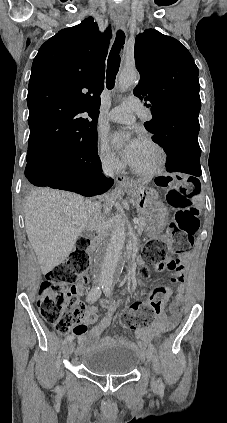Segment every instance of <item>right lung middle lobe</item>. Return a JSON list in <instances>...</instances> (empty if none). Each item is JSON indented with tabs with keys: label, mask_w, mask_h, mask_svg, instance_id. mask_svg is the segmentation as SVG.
I'll list each match as a JSON object with an SVG mask.
<instances>
[{
	"label": "right lung middle lobe",
	"mask_w": 227,
	"mask_h": 423,
	"mask_svg": "<svg viewBox=\"0 0 227 423\" xmlns=\"http://www.w3.org/2000/svg\"><path fill=\"white\" fill-rule=\"evenodd\" d=\"M97 150V133H93L83 138L82 140L73 143L69 146H66L61 149L55 150V152L60 153L64 156H75L81 155L86 152H92ZM43 154V153H42ZM42 154L27 155L26 161L30 162L34 159L39 158Z\"/></svg>",
	"instance_id": "1"
}]
</instances>
